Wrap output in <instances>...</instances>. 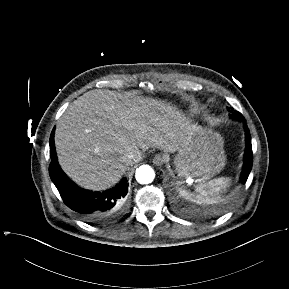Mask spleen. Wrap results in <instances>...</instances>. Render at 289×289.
I'll return each instance as SVG.
<instances>
[{
  "instance_id": "3e777b00",
  "label": "spleen",
  "mask_w": 289,
  "mask_h": 289,
  "mask_svg": "<svg viewBox=\"0 0 289 289\" xmlns=\"http://www.w3.org/2000/svg\"><path fill=\"white\" fill-rule=\"evenodd\" d=\"M231 184L229 177H219L210 181L199 179L196 186V191L199 193V198L204 199L211 197L213 199L221 198V193L225 192Z\"/></svg>"
}]
</instances>
